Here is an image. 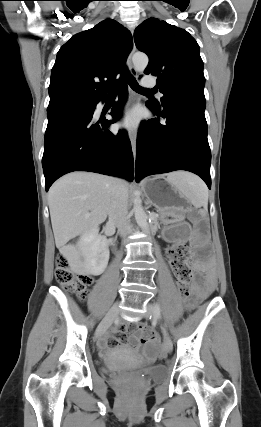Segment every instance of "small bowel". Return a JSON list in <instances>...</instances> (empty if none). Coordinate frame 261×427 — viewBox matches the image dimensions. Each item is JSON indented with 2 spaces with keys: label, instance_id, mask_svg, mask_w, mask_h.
I'll return each mask as SVG.
<instances>
[{
  "label": "small bowel",
  "instance_id": "1",
  "mask_svg": "<svg viewBox=\"0 0 261 427\" xmlns=\"http://www.w3.org/2000/svg\"><path fill=\"white\" fill-rule=\"evenodd\" d=\"M212 287V281L209 280L208 284L206 285H201L198 284L194 287V297L192 298V300L189 302V306L194 305L200 298H202L203 296H205L211 289ZM129 328L131 329L132 332L135 331H139L141 328V325L139 322L133 321L130 325ZM126 332V327L124 325H120L116 330L114 334L109 335L105 341H101L100 342V346L102 348L108 347V348H113L117 345H119L122 340H123V336ZM129 343L133 348H137L139 343H138V337L136 335H131L129 338ZM146 354L148 356H154L157 352V338H154L153 340H151L148 345L146 346Z\"/></svg>",
  "mask_w": 261,
  "mask_h": 427
}]
</instances>
